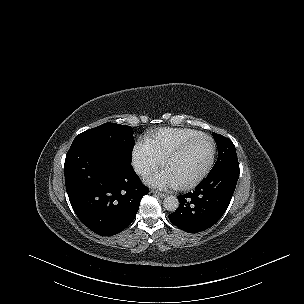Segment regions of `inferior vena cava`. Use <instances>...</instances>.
<instances>
[{"label":"inferior vena cava","mask_w":304,"mask_h":304,"mask_svg":"<svg viewBox=\"0 0 304 304\" xmlns=\"http://www.w3.org/2000/svg\"><path fill=\"white\" fill-rule=\"evenodd\" d=\"M134 170L138 175H146L149 172V168L143 164H135L134 165Z\"/></svg>","instance_id":"obj_1"}]
</instances>
